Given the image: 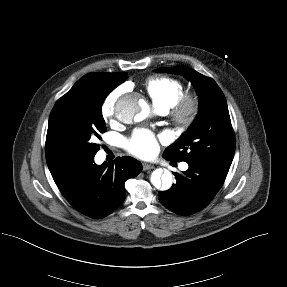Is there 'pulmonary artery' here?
Returning a JSON list of instances; mask_svg holds the SVG:
<instances>
[{"mask_svg":"<svg viewBox=\"0 0 287 287\" xmlns=\"http://www.w3.org/2000/svg\"><path fill=\"white\" fill-rule=\"evenodd\" d=\"M159 112L161 113V114H165L167 111L166 110H159ZM188 168V165L186 164V163H183L182 165H181V169L182 170H186Z\"/></svg>","mask_w":287,"mask_h":287,"instance_id":"obj_1","label":"pulmonary artery"}]
</instances>
